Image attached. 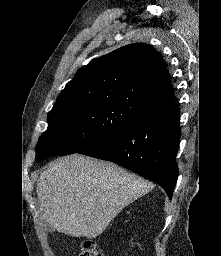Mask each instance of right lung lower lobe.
I'll list each match as a JSON object with an SVG mask.
<instances>
[{"mask_svg":"<svg viewBox=\"0 0 221 256\" xmlns=\"http://www.w3.org/2000/svg\"><path fill=\"white\" fill-rule=\"evenodd\" d=\"M177 108L140 119L83 148L78 153L112 161L159 184L172 198L178 178L180 140Z\"/></svg>","mask_w":221,"mask_h":256,"instance_id":"1","label":"right lung lower lobe"}]
</instances>
